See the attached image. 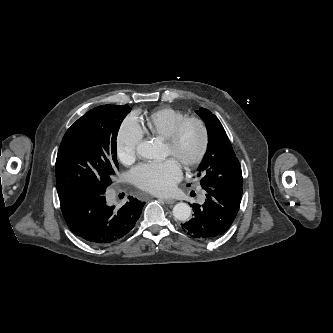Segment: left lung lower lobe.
Here are the masks:
<instances>
[{
  "mask_svg": "<svg viewBox=\"0 0 333 333\" xmlns=\"http://www.w3.org/2000/svg\"><path fill=\"white\" fill-rule=\"evenodd\" d=\"M202 188L206 192V200L203 205H192L194 217L182 228L191 237L211 239L225 233L233 223L239 210L242 188Z\"/></svg>",
  "mask_w": 333,
  "mask_h": 333,
  "instance_id": "obj_1",
  "label": "left lung lower lobe"
}]
</instances>
